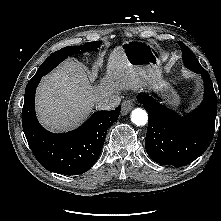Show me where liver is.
<instances>
[{
  "label": "liver",
  "instance_id": "obj_1",
  "mask_svg": "<svg viewBox=\"0 0 221 221\" xmlns=\"http://www.w3.org/2000/svg\"><path fill=\"white\" fill-rule=\"evenodd\" d=\"M143 79L141 72L128 63L121 47L110 54L106 75L97 87L89 82L79 62H65L44 77L37 89L38 119L51 131H67L85 120L101 98L123 88H137Z\"/></svg>",
  "mask_w": 221,
  "mask_h": 221
}]
</instances>
